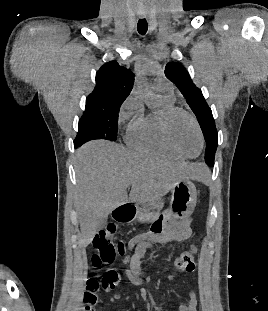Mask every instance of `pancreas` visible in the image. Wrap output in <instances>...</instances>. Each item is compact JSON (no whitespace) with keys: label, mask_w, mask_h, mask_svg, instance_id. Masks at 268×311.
Returning a JSON list of instances; mask_svg holds the SVG:
<instances>
[{"label":"pancreas","mask_w":268,"mask_h":311,"mask_svg":"<svg viewBox=\"0 0 268 311\" xmlns=\"http://www.w3.org/2000/svg\"><path fill=\"white\" fill-rule=\"evenodd\" d=\"M163 207V203L162 202H157L156 200L150 201L147 204L143 205V208L140 209V212L138 213L137 219L148 213L150 210H155V209H159Z\"/></svg>","instance_id":"1"}]
</instances>
